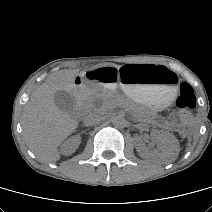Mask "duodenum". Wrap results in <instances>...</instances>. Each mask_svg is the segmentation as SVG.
I'll return each instance as SVG.
<instances>
[{"instance_id":"obj_1","label":"duodenum","mask_w":212,"mask_h":212,"mask_svg":"<svg viewBox=\"0 0 212 212\" xmlns=\"http://www.w3.org/2000/svg\"><path fill=\"white\" fill-rule=\"evenodd\" d=\"M85 84V81L80 79V81L76 83L74 87V96L77 102H80L81 98L83 97L86 86Z\"/></svg>"}]
</instances>
